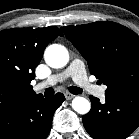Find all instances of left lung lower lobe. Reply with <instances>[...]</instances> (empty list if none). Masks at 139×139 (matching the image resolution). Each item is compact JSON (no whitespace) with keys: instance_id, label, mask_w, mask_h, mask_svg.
<instances>
[{"instance_id":"0a47b994","label":"left lung lower lobe","mask_w":139,"mask_h":139,"mask_svg":"<svg viewBox=\"0 0 139 139\" xmlns=\"http://www.w3.org/2000/svg\"><path fill=\"white\" fill-rule=\"evenodd\" d=\"M89 98L92 108L82 120L92 138L125 139L139 126V88L106 96L104 103Z\"/></svg>"}]
</instances>
